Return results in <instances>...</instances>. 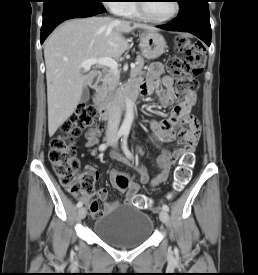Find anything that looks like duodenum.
Wrapping results in <instances>:
<instances>
[{
  "label": "duodenum",
  "mask_w": 258,
  "mask_h": 275,
  "mask_svg": "<svg viewBox=\"0 0 258 275\" xmlns=\"http://www.w3.org/2000/svg\"><path fill=\"white\" fill-rule=\"evenodd\" d=\"M99 80V74L95 73L89 79V85L91 88H96ZM140 94L139 89L127 87L125 92L115 99H113L109 105L101 106L99 108L100 118L103 124H106L111 118H113L119 111L121 106H125L131 103Z\"/></svg>",
  "instance_id": "410a0bca"
}]
</instances>
